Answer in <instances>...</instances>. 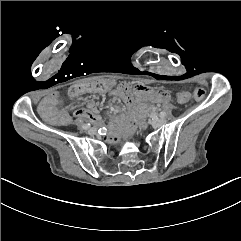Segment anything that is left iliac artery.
Instances as JSON below:
<instances>
[{
	"instance_id": "obj_1",
	"label": "left iliac artery",
	"mask_w": 241,
	"mask_h": 241,
	"mask_svg": "<svg viewBox=\"0 0 241 241\" xmlns=\"http://www.w3.org/2000/svg\"><path fill=\"white\" fill-rule=\"evenodd\" d=\"M165 116H166V113H165V112H163V111L160 112V117H161V118H164Z\"/></svg>"
}]
</instances>
